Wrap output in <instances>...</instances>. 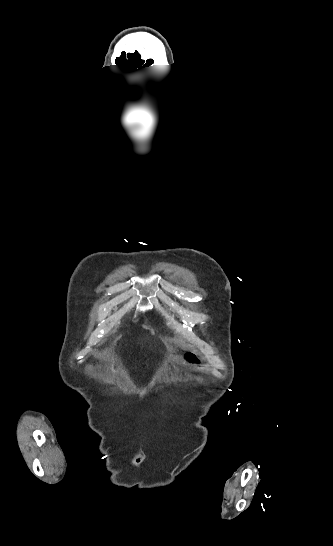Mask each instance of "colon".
Masks as SVG:
<instances>
[{"label":"colon","instance_id":"1","mask_svg":"<svg viewBox=\"0 0 333 546\" xmlns=\"http://www.w3.org/2000/svg\"><path fill=\"white\" fill-rule=\"evenodd\" d=\"M186 360L189 364H192V365H199L201 362L200 358L195 353H192V352H188L186 354Z\"/></svg>","mask_w":333,"mask_h":546}]
</instances>
